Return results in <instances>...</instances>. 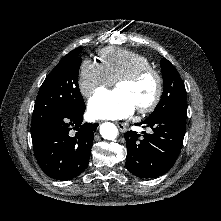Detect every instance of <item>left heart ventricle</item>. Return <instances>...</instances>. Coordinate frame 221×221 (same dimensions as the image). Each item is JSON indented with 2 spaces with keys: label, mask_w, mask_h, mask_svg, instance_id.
I'll list each match as a JSON object with an SVG mask.
<instances>
[{
  "label": "left heart ventricle",
  "mask_w": 221,
  "mask_h": 221,
  "mask_svg": "<svg viewBox=\"0 0 221 221\" xmlns=\"http://www.w3.org/2000/svg\"><path fill=\"white\" fill-rule=\"evenodd\" d=\"M156 80L148 75L135 83L122 82L117 89L125 92L135 104L136 108L147 105L156 93Z\"/></svg>",
  "instance_id": "1"
}]
</instances>
